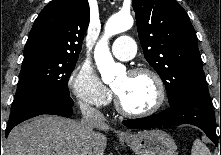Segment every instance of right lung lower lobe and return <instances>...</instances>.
I'll return each instance as SVG.
<instances>
[{
    "instance_id": "obj_1",
    "label": "right lung lower lobe",
    "mask_w": 221,
    "mask_h": 155,
    "mask_svg": "<svg viewBox=\"0 0 221 155\" xmlns=\"http://www.w3.org/2000/svg\"><path fill=\"white\" fill-rule=\"evenodd\" d=\"M72 106L73 100L70 96H61L44 90H38L28 94L12 108L5 136L7 137L11 129L20 122L41 114L70 117L72 115Z\"/></svg>"
}]
</instances>
